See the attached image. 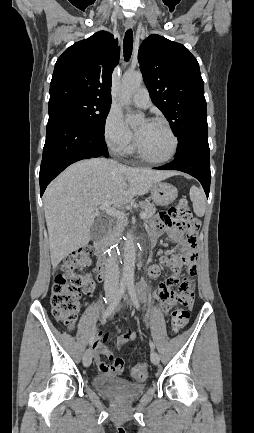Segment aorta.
Segmentation results:
<instances>
[{
  "instance_id": "aorta-1",
  "label": "aorta",
  "mask_w": 254,
  "mask_h": 433,
  "mask_svg": "<svg viewBox=\"0 0 254 433\" xmlns=\"http://www.w3.org/2000/svg\"><path fill=\"white\" fill-rule=\"evenodd\" d=\"M143 81L142 74L138 71L126 72L121 83V103L127 107L131 102L132 94L140 87ZM143 118L142 113H133L128 109L125 121L129 125L138 123ZM135 270V247L134 238L127 234L124 249V262L122 281L131 282L134 278Z\"/></svg>"
}]
</instances>
